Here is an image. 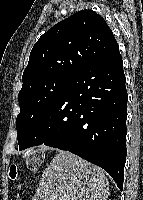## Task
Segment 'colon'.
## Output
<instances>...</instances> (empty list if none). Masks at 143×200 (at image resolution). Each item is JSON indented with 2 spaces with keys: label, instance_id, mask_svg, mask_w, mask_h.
Here are the masks:
<instances>
[{
  "label": "colon",
  "instance_id": "5ec220e1",
  "mask_svg": "<svg viewBox=\"0 0 143 200\" xmlns=\"http://www.w3.org/2000/svg\"><path fill=\"white\" fill-rule=\"evenodd\" d=\"M44 152L40 149H29L23 154V159L27 168L30 171L38 170L44 162ZM18 175L17 166L12 164L9 171V176L12 180H15Z\"/></svg>",
  "mask_w": 143,
  "mask_h": 200
}]
</instances>
